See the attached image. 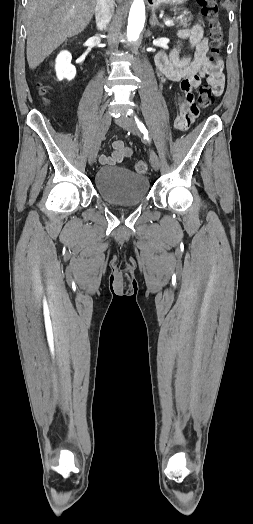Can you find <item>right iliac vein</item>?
Segmentation results:
<instances>
[{"label": "right iliac vein", "instance_id": "63e3f726", "mask_svg": "<svg viewBox=\"0 0 253 524\" xmlns=\"http://www.w3.org/2000/svg\"><path fill=\"white\" fill-rule=\"evenodd\" d=\"M110 124L111 116L108 113H105L100 120L95 140L93 141L88 154V161L90 164H93L95 162L101 144V140L106 134L107 130L109 129Z\"/></svg>", "mask_w": 253, "mask_h": 524}]
</instances>
